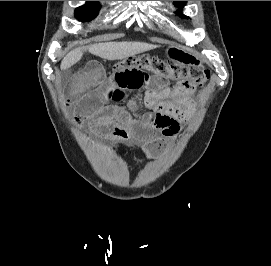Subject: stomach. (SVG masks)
I'll list each match as a JSON object with an SVG mask.
<instances>
[{
    "label": "stomach",
    "instance_id": "1",
    "mask_svg": "<svg viewBox=\"0 0 271 266\" xmlns=\"http://www.w3.org/2000/svg\"><path fill=\"white\" fill-rule=\"evenodd\" d=\"M166 54L169 59L174 62L190 65H200V60L191 53L178 48V47H168L166 49Z\"/></svg>",
    "mask_w": 271,
    "mask_h": 266
}]
</instances>
